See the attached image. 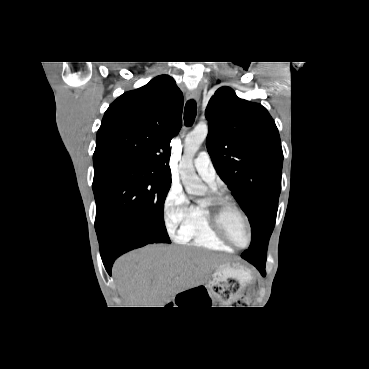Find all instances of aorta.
<instances>
[{"instance_id": "762f6f07", "label": "aorta", "mask_w": 369, "mask_h": 369, "mask_svg": "<svg viewBox=\"0 0 369 369\" xmlns=\"http://www.w3.org/2000/svg\"><path fill=\"white\" fill-rule=\"evenodd\" d=\"M207 134V125H198L185 138L184 154L179 165V173L185 190L190 195L201 196L207 190V187L198 178L193 166V158Z\"/></svg>"}]
</instances>
